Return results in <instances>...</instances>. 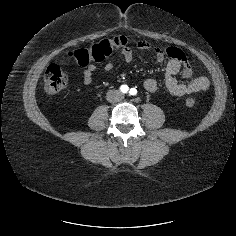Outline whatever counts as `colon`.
<instances>
[{
  "label": "colon",
  "instance_id": "5ec220e1",
  "mask_svg": "<svg viewBox=\"0 0 236 236\" xmlns=\"http://www.w3.org/2000/svg\"><path fill=\"white\" fill-rule=\"evenodd\" d=\"M128 39L124 36H115L100 42L88 48H80L69 50L66 56L74 60L80 66H87L90 62H102L110 56L115 50L123 49L128 46ZM67 84V75L56 64H51L47 67L44 74V88L49 94L60 92ZM186 105L191 107L194 105L193 99H187Z\"/></svg>",
  "mask_w": 236,
  "mask_h": 236
}]
</instances>
